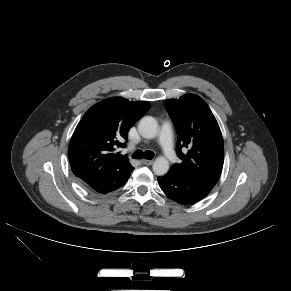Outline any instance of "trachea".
I'll use <instances>...</instances> for the list:
<instances>
[{"label": "trachea", "instance_id": "1", "mask_svg": "<svg viewBox=\"0 0 291 291\" xmlns=\"http://www.w3.org/2000/svg\"><path fill=\"white\" fill-rule=\"evenodd\" d=\"M132 157L134 159H143V158H145L147 160H152L154 158V153L152 151H149V150H147L145 152H143L141 150H136L133 153Z\"/></svg>", "mask_w": 291, "mask_h": 291}]
</instances>
